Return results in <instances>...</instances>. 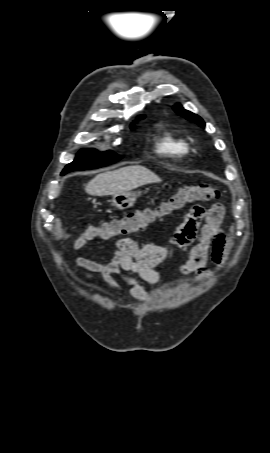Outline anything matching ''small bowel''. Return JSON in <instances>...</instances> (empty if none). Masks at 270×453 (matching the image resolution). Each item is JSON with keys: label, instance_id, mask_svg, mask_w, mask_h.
<instances>
[{"label": "small bowel", "instance_id": "c3829d8e", "mask_svg": "<svg viewBox=\"0 0 270 453\" xmlns=\"http://www.w3.org/2000/svg\"><path fill=\"white\" fill-rule=\"evenodd\" d=\"M224 216L225 208L221 203H215L209 209L195 205L177 227L171 246L139 244L131 238H120L110 247V260L98 262L79 257L76 264L85 280L92 281L93 274L99 273L110 289L119 291L120 287L114 279V275H118L130 286L129 293L134 298L145 300L147 293L140 281L157 284L161 276L156 266L189 249V258L180 265L179 272L182 275L195 274L197 280L202 282L212 276V271L206 268L209 258L218 266L222 264L226 246V235L222 229ZM100 239L82 233L72 242V248L79 250L98 246Z\"/></svg>", "mask_w": 270, "mask_h": 453}]
</instances>
